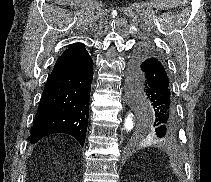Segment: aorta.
<instances>
[{
	"label": "aorta",
	"mask_w": 211,
	"mask_h": 182,
	"mask_svg": "<svg viewBox=\"0 0 211 182\" xmlns=\"http://www.w3.org/2000/svg\"><path fill=\"white\" fill-rule=\"evenodd\" d=\"M135 126V115L133 113L127 114L124 121V129L131 131Z\"/></svg>",
	"instance_id": "1"
}]
</instances>
